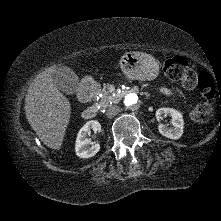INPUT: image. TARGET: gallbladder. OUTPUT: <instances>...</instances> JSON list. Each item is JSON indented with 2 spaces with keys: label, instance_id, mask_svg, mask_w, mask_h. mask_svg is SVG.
I'll return each instance as SVG.
<instances>
[{
  "label": "gallbladder",
  "instance_id": "1",
  "mask_svg": "<svg viewBox=\"0 0 221 221\" xmlns=\"http://www.w3.org/2000/svg\"><path fill=\"white\" fill-rule=\"evenodd\" d=\"M52 81L56 88L66 94H75L79 88V78L68 67L57 68L52 75Z\"/></svg>",
  "mask_w": 221,
  "mask_h": 221
}]
</instances>
